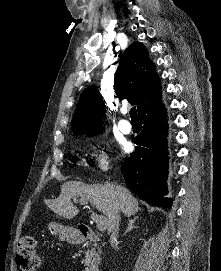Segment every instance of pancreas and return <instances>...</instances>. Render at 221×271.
Listing matches in <instances>:
<instances>
[{"mask_svg": "<svg viewBox=\"0 0 221 271\" xmlns=\"http://www.w3.org/2000/svg\"><path fill=\"white\" fill-rule=\"evenodd\" d=\"M101 253V247H97V245H89V249L85 251V259H83L84 265H86L85 271L88 267H91V265H98V263H100Z\"/></svg>", "mask_w": 221, "mask_h": 271, "instance_id": "cf45deb5", "label": "pancreas"}]
</instances>
